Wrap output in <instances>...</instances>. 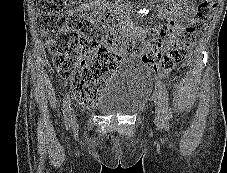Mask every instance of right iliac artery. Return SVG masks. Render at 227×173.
Instances as JSON below:
<instances>
[{
  "label": "right iliac artery",
  "instance_id": "obj_1",
  "mask_svg": "<svg viewBox=\"0 0 227 173\" xmlns=\"http://www.w3.org/2000/svg\"><path fill=\"white\" fill-rule=\"evenodd\" d=\"M70 98L69 94H66L63 100V115L65 119L66 126H69L70 124Z\"/></svg>",
  "mask_w": 227,
  "mask_h": 173
}]
</instances>
